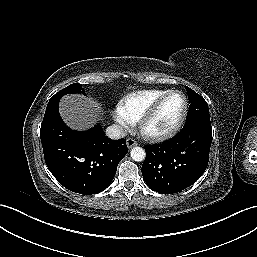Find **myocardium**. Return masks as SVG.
Returning a JSON list of instances; mask_svg holds the SVG:
<instances>
[{
	"label": "myocardium",
	"mask_w": 257,
	"mask_h": 257,
	"mask_svg": "<svg viewBox=\"0 0 257 257\" xmlns=\"http://www.w3.org/2000/svg\"><path fill=\"white\" fill-rule=\"evenodd\" d=\"M174 94H180L183 97L184 107L178 121L168 130L160 133L151 132L148 130V124L151 119L155 116L165 101ZM189 103L186 95L179 90H170L165 95L156 100L149 109L141 116L138 121L139 132L143 138L151 142H163L174 137L182 128L187 114H188Z\"/></svg>",
	"instance_id": "f54148a6"
}]
</instances>
